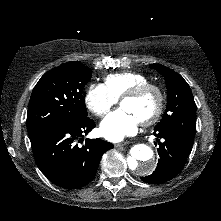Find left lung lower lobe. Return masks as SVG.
Returning a JSON list of instances; mask_svg holds the SVG:
<instances>
[{
	"instance_id": "left-lung-lower-lobe-1",
	"label": "left lung lower lobe",
	"mask_w": 221,
	"mask_h": 221,
	"mask_svg": "<svg viewBox=\"0 0 221 221\" xmlns=\"http://www.w3.org/2000/svg\"><path fill=\"white\" fill-rule=\"evenodd\" d=\"M154 131L157 138L164 140L160 142L159 139H156L159 143L160 159L155 172L149 176L141 177V180L150 184H160L173 179L180 173L192 150L193 142L170 129H154Z\"/></svg>"
}]
</instances>
